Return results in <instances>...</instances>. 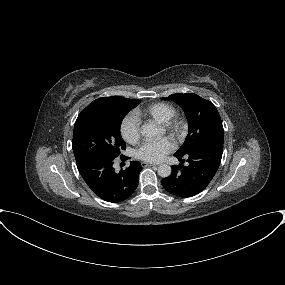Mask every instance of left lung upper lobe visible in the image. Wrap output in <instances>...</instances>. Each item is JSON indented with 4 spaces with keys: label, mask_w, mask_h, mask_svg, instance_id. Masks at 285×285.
Listing matches in <instances>:
<instances>
[{
    "label": "left lung upper lobe",
    "mask_w": 285,
    "mask_h": 285,
    "mask_svg": "<svg viewBox=\"0 0 285 285\" xmlns=\"http://www.w3.org/2000/svg\"><path fill=\"white\" fill-rule=\"evenodd\" d=\"M163 99L178 103L188 119V135L183 146L175 154L185 155L205 142L223 139L224 129L220 115L210 101L194 93H177Z\"/></svg>",
    "instance_id": "left-lung-upper-lobe-1"
}]
</instances>
